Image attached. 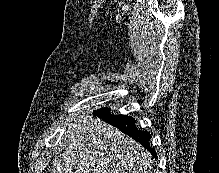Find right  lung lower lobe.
<instances>
[{
    "mask_svg": "<svg viewBox=\"0 0 219 173\" xmlns=\"http://www.w3.org/2000/svg\"><path fill=\"white\" fill-rule=\"evenodd\" d=\"M95 113L102 117L107 123L116 126L124 133L131 136L134 140L142 144L151 154L156 157L155 150L150 148L149 140L151 138L150 133L147 131L138 130L135 127V119L131 116L126 115H112L109 113V109H99Z\"/></svg>",
    "mask_w": 219,
    "mask_h": 173,
    "instance_id": "1",
    "label": "right lung lower lobe"
}]
</instances>
